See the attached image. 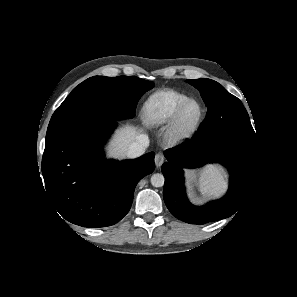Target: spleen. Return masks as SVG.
<instances>
[{
	"instance_id": "1",
	"label": "spleen",
	"mask_w": 297,
	"mask_h": 297,
	"mask_svg": "<svg viewBox=\"0 0 297 297\" xmlns=\"http://www.w3.org/2000/svg\"><path fill=\"white\" fill-rule=\"evenodd\" d=\"M225 184L224 175L220 168L207 166L200 171L199 187L203 194H213Z\"/></svg>"
}]
</instances>
